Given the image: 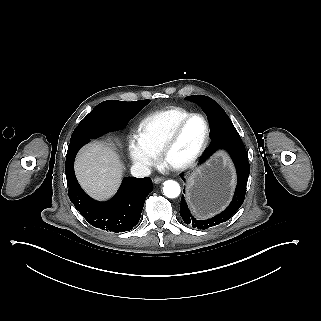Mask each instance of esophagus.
Masks as SVG:
<instances>
[{"label": "esophagus", "mask_w": 321, "mask_h": 321, "mask_svg": "<svg viewBox=\"0 0 321 321\" xmlns=\"http://www.w3.org/2000/svg\"><path fill=\"white\" fill-rule=\"evenodd\" d=\"M164 181V178L158 177L154 179V183L159 184L160 182Z\"/></svg>", "instance_id": "34e87169"}]
</instances>
